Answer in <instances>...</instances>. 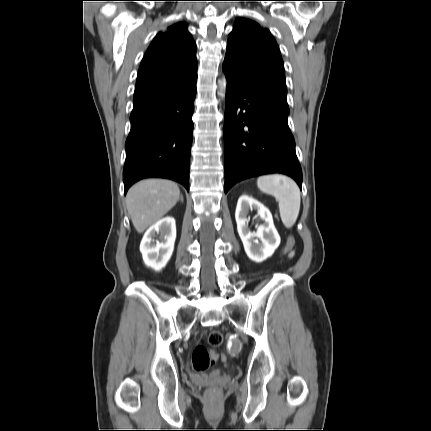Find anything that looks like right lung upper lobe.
<instances>
[{"mask_svg":"<svg viewBox=\"0 0 431 431\" xmlns=\"http://www.w3.org/2000/svg\"><path fill=\"white\" fill-rule=\"evenodd\" d=\"M197 78L196 45L184 23L159 32L141 62L133 110L166 100Z\"/></svg>","mask_w":431,"mask_h":431,"instance_id":"cb5924a9","label":"right lung upper lobe"}]
</instances>
